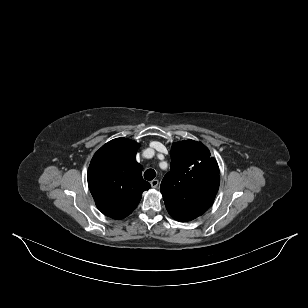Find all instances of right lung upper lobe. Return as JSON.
Returning <instances> with one entry per match:
<instances>
[{"mask_svg":"<svg viewBox=\"0 0 308 308\" xmlns=\"http://www.w3.org/2000/svg\"><path fill=\"white\" fill-rule=\"evenodd\" d=\"M139 144L117 138L101 147L88 170V186L97 208L113 219H123L137 207L150 184L135 160Z\"/></svg>","mask_w":308,"mask_h":308,"instance_id":"right-lung-upper-lobe-1","label":"right lung upper lobe"}]
</instances>
